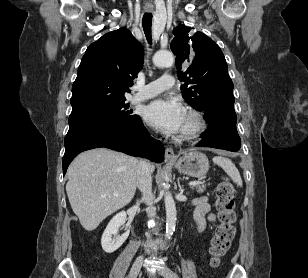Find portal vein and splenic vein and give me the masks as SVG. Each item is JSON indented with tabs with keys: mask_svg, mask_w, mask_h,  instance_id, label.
I'll use <instances>...</instances> for the list:
<instances>
[{
	"mask_svg": "<svg viewBox=\"0 0 308 278\" xmlns=\"http://www.w3.org/2000/svg\"><path fill=\"white\" fill-rule=\"evenodd\" d=\"M201 182L200 181H192V182H189V186H196V185H199Z\"/></svg>",
	"mask_w": 308,
	"mask_h": 278,
	"instance_id": "18ae733b",
	"label": "portal vein and splenic vein"
}]
</instances>
